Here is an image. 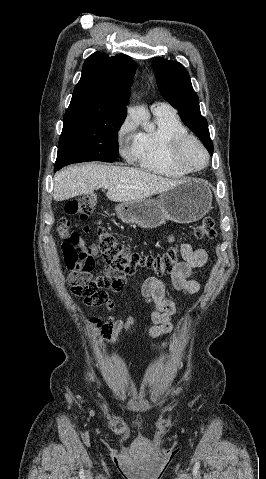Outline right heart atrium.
<instances>
[{"instance_id":"right-heart-atrium-1","label":"right heart atrium","mask_w":266,"mask_h":479,"mask_svg":"<svg viewBox=\"0 0 266 479\" xmlns=\"http://www.w3.org/2000/svg\"><path fill=\"white\" fill-rule=\"evenodd\" d=\"M134 136L133 123L131 120L126 119L117 131V140L121 145H124L122 151L128 159H131Z\"/></svg>"}]
</instances>
